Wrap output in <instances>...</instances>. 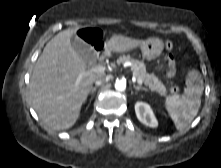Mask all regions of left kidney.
I'll return each instance as SVG.
<instances>
[{
    "label": "left kidney",
    "instance_id": "obj_1",
    "mask_svg": "<svg viewBox=\"0 0 221 168\" xmlns=\"http://www.w3.org/2000/svg\"><path fill=\"white\" fill-rule=\"evenodd\" d=\"M135 112L138 120L146 126L157 127L158 122L151 107L144 102H137L135 104Z\"/></svg>",
    "mask_w": 221,
    "mask_h": 168
}]
</instances>
